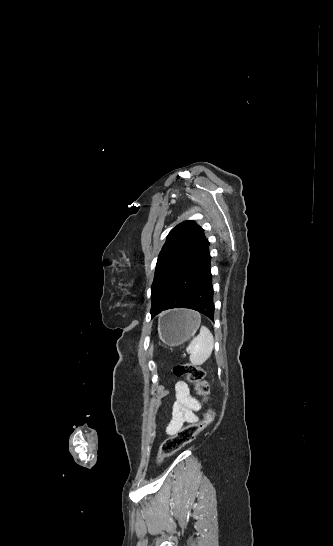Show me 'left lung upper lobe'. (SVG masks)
Instances as JSON below:
<instances>
[{"label":"left lung upper lobe","mask_w":333,"mask_h":546,"mask_svg":"<svg viewBox=\"0 0 333 546\" xmlns=\"http://www.w3.org/2000/svg\"><path fill=\"white\" fill-rule=\"evenodd\" d=\"M205 240L203 229L191 220L180 223L171 230L159 254L151 286L152 317L160 313L170 286L199 255Z\"/></svg>","instance_id":"5c2ea615"}]
</instances>
